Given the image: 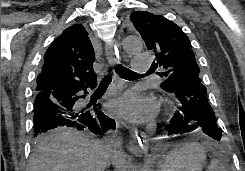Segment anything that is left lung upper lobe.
<instances>
[{
  "label": "left lung upper lobe",
  "mask_w": 245,
  "mask_h": 171,
  "mask_svg": "<svg viewBox=\"0 0 245 171\" xmlns=\"http://www.w3.org/2000/svg\"><path fill=\"white\" fill-rule=\"evenodd\" d=\"M130 19L147 49L155 52L156 63L152 66L167 70L159 73L162 89L169 92L183 81L202 82L189 38L178 25L145 11L132 12Z\"/></svg>",
  "instance_id": "left-lung-upper-lobe-1"
}]
</instances>
